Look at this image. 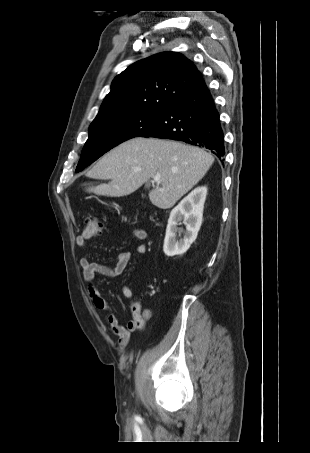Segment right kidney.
Wrapping results in <instances>:
<instances>
[{"mask_svg":"<svg viewBox=\"0 0 310 453\" xmlns=\"http://www.w3.org/2000/svg\"><path fill=\"white\" fill-rule=\"evenodd\" d=\"M207 195V187L199 186L188 194L170 213L163 251L169 256L184 254L197 238L203 217V208ZM186 226L184 238L177 240L176 233L183 232L177 227L181 221Z\"/></svg>","mask_w":310,"mask_h":453,"instance_id":"ca27d5eb","label":"right kidney"}]
</instances>
